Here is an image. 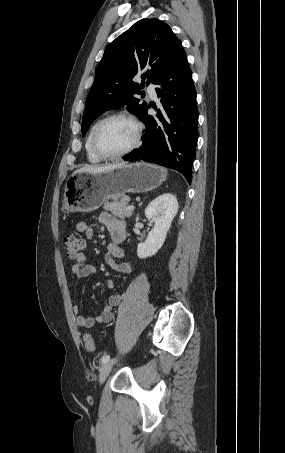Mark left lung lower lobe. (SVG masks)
Wrapping results in <instances>:
<instances>
[{"label": "left lung lower lobe", "instance_id": "obj_1", "mask_svg": "<svg viewBox=\"0 0 285 453\" xmlns=\"http://www.w3.org/2000/svg\"><path fill=\"white\" fill-rule=\"evenodd\" d=\"M162 107L156 116H141L146 125L142 146L123 156L139 159L180 172L191 183V170L198 140V110L192 73L183 47L178 44L154 79Z\"/></svg>", "mask_w": 285, "mask_h": 453}]
</instances>
